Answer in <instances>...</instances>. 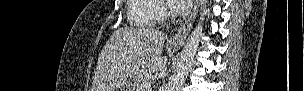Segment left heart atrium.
Masks as SVG:
<instances>
[{
  "instance_id": "1",
  "label": "left heart atrium",
  "mask_w": 304,
  "mask_h": 91,
  "mask_svg": "<svg viewBox=\"0 0 304 91\" xmlns=\"http://www.w3.org/2000/svg\"><path fill=\"white\" fill-rule=\"evenodd\" d=\"M171 9L174 13L183 14L191 7V0H171Z\"/></svg>"
}]
</instances>
